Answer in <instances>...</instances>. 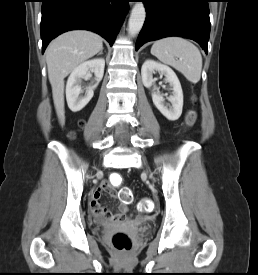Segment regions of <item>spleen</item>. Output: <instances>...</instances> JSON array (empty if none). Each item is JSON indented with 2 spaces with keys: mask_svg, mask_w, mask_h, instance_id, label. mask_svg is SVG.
<instances>
[{
  "mask_svg": "<svg viewBox=\"0 0 258 275\" xmlns=\"http://www.w3.org/2000/svg\"><path fill=\"white\" fill-rule=\"evenodd\" d=\"M151 54L181 72L188 81L196 83L200 80L202 56L190 41L181 37L160 39L152 45Z\"/></svg>",
  "mask_w": 258,
  "mask_h": 275,
  "instance_id": "1",
  "label": "spleen"
}]
</instances>
